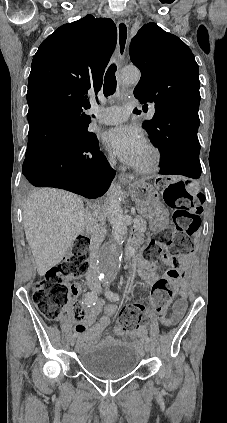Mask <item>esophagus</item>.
<instances>
[{"label": "esophagus", "mask_w": 227, "mask_h": 423, "mask_svg": "<svg viewBox=\"0 0 227 423\" xmlns=\"http://www.w3.org/2000/svg\"><path fill=\"white\" fill-rule=\"evenodd\" d=\"M128 38H129V28H128L127 22L125 20H118L117 22V56L119 60H123L125 56ZM118 179L120 183H128L134 180V176L129 175L128 173H119Z\"/></svg>", "instance_id": "esophagus-1"}]
</instances>
